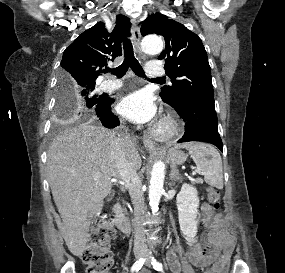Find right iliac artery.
Segmentation results:
<instances>
[{
  "label": "right iliac artery",
  "mask_w": 285,
  "mask_h": 273,
  "mask_svg": "<svg viewBox=\"0 0 285 273\" xmlns=\"http://www.w3.org/2000/svg\"><path fill=\"white\" fill-rule=\"evenodd\" d=\"M144 262H145V258H141L138 261H136L131 267V272L139 271L142 268Z\"/></svg>",
  "instance_id": "obj_1"
}]
</instances>
